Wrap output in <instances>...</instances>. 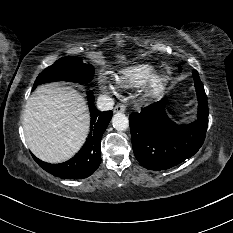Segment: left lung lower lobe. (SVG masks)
Returning <instances> with one entry per match:
<instances>
[{
  "label": "left lung lower lobe",
  "instance_id": "left-lung-lower-lobe-1",
  "mask_svg": "<svg viewBox=\"0 0 233 233\" xmlns=\"http://www.w3.org/2000/svg\"><path fill=\"white\" fill-rule=\"evenodd\" d=\"M193 76L199 103L195 122L174 124L165 113L163 100L129 116L134 155L145 168L169 169L192 157L202 146L209 112L199 74L193 71Z\"/></svg>",
  "mask_w": 233,
  "mask_h": 233
}]
</instances>
